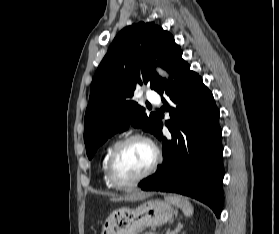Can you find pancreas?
I'll return each mask as SVG.
<instances>
[{
    "label": "pancreas",
    "instance_id": "cf45deb5",
    "mask_svg": "<svg viewBox=\"0 0 279 234\" xmlns=\"http://www.w3.org/2000/svg\"><path fill=\"white\" fill-rule=\"evenodd\" d=\"M145 234H153V233L149 232V233H145Z\"/></svg>",
    "mask_w": 279,
    "mask_h": 234
}]
</instances>
